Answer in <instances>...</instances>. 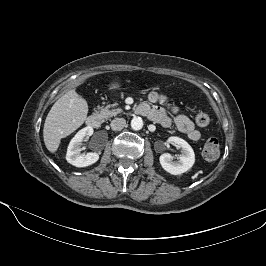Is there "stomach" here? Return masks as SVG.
<instances>
[{
    "label": "stomach",
    "mask_w": 266,
    "mask_h": 266,
    "mask_svg": "<svg viewBox=\"0 0 266 266\" xmlns=\"http://www.w3.org/2000/svg\"><path fill=\"white\" fill-rule=\"evenodd\" d=\"M108 87L110 90H117L121 85L118 82H111Z\"/></svg>",
    "instance_id": "stomach-1"
}]
</instances>
